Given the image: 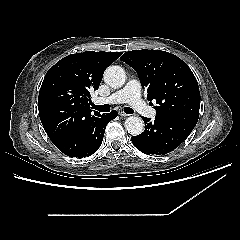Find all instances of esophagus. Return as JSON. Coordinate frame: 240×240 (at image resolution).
<instances>
[{
  "label": "esophagus",
  "instance_id": "obj_1",
  "mask_svg": "<svg viewBox=\"0 0 240 240\" xmlns=\"http://www.w3.org/2000/svg\"><path fill=\"white\" fill-rule=\"evenodd\" d=\"M119 115H120L121 117H127V116H128V114H126V113L123 112V111H119Z\"/></svg>",
  "mask_w": 240,
  "mask_h": 240
}]
</instances>
